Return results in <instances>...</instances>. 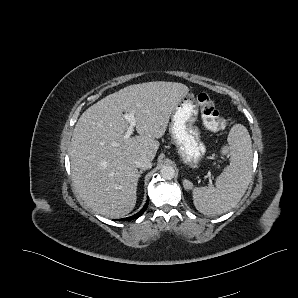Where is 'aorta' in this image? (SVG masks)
<instances>
[{
	"label": "aorta",
	"instance_id": "aorta-1",
	"mask_svg": "<svg viewBox=\"0 0 298 298\" xmlns=\"http://www.w3.org/2000/svg\"><path fill=\"white\" fill-rule=\"evenodd\" d=\"M176 171L175 168L171 165H163L160 168V175L165 180H171L175 177Z\"/></svg>",
	"mask_w": 298,
	"mask_h": 298
}]
</instances>
